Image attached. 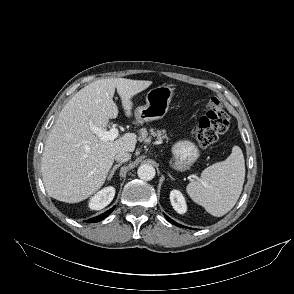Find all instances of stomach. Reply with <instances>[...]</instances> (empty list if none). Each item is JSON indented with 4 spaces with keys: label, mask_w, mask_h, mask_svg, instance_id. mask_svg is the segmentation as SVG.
<instances>
[{
    "label": "stomach",
    "mask_w": 294,
    "mask_h": 294,
    "mask_svg": "<svg viewBox=\"0 0 294 294\" xmlns=\"http://www.w3.org/2000/svg\"><path fill=\"white\" fill-rule=\"evenodd\" d=\"M173 95L174 88L169 85L150 89L145 97L146 104L135 110L136 121L143 124L147 121L162 119L168 112ZM171 151L175 160L174 168L180 171L189 169L200 156L198 147L188 140L176 142Z\"/></svg>",
    "instance_id": "obj_1"
}]
</instances>
